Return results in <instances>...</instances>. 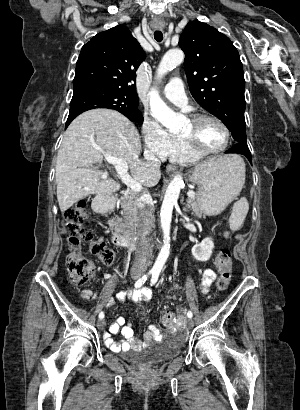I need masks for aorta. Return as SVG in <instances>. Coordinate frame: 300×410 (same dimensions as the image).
Listing matches in <instances>:
<instances>
[{
	"mask_svg": "<svg viewBox=\"0 0 300 410\" xmlns=\"http://www.w3.org/2000/svg\"><path fill=\"white\" fill-rule=\"evenodd\" d=\"M183 60L184 53L182 50L172 49L168 51L164 55L158 66L157 78L161 79L166 73H168L177 65L181 64ZM149 95L152 116L170 131L178 132L182 128L183 118L175 114L163 102V100L159 96L157 89H151ZM183 183L184 182L182 177L180 175H176L166 189L160 212L164 245L161 248L159 255L154 263L153 271L160 272L168 259L170 253V228L172 211L173 207L177 204Z\"/></svg>",
	"mask_w": 300,
	"mask_h": 410,
	"instance_id": "aorta-1",
	"label": "aorta"
}]
</instances>
